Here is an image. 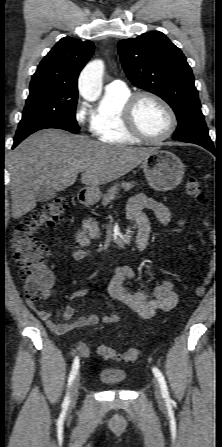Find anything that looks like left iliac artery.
I'll use <instances>...</instances> for the list:
<instances>
[{"instance_id": "obj_1", "label": "left iliac artery", "mask_w": 222, "mask_h": 447, "mask_svg": "<svg viewBox=\"0 0 222 447\" xmlns=\"http://www.w3.org/2000/svg\"><path fill=\"white\" fill-rule=\"evenodd\" d=\"M152 371H153L155 377L157 378V380H158V382H159V384H160V386H161V390H162V395H163V397H164L167 401H170L168 388H167L166 381H165V378H164L163 374H162L161 371H160L158 368H156V367H153V368H152Z\"/></svg>"}]
</instances>
